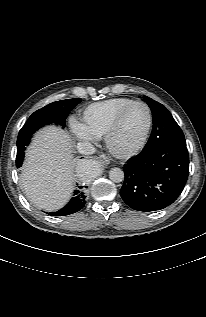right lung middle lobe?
<instances>
[{"mask_svg":"<svg viewBox=\"0 0 206 317\" xmlns=\"http://www.w3.org/2000/svg\"><path fill=\"white\" fill-rule=\"evenodd\" d=\"M80 102V98L56 101L37 110L29 117L17 138V168L22 165L24 150L30 142L31 135L40 127L51 123L64 127L69 112Z\"/></svg>","mask_w":206,"mask_h":317,"instance_id":"1","label":"right lung middle lobe"}]
</instances>
